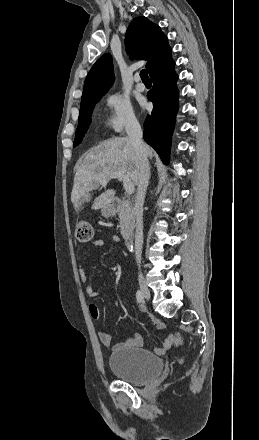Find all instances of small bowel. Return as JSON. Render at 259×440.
Instances as JSON below:
<instances>
[{"label": "small bowel", "mask_w": 259, "mask_h": 440, "mask_svg": "<svg viewBox=\"0 0 259 440\" xmlns=\"http://www.w3.org/2000/svg\"><path fill=\"white\" fill-rule=\"evenodd\" d=\"M112 241L118 243L120 241L119 236L113 235ZM103 244H104L103 239H97L92 243L93 246H102ZM79 277H80V281L85 287L87 296L90 298L96 297L98 295V292L95 291L93 287L88 283V279L83 268L79 269ZM89 314L93 319L99 318V309L95 304L89 305ZM150 318L154 327L157 330H162L164 328L163 322H161L159 319L155 318L154 316H150ZM98 339L106 347H110L112 345V336L107 332H99ZM140 345H141L140 337L138 335H134L132 337L127 338L122 343L117 344L115 348L132 347V346H140ZM169 347H170V342L168 339H166L163 347L156 348L155 352L158 354H163Z\"/></svg>", "instance_id": "small-bowel-1"}]
</instances>
